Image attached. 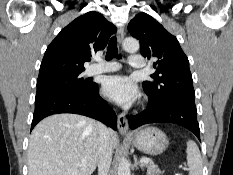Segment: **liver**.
Returning a JSON list of instances; mask_svg holds the SVG:
<instances>
[{
  "instance_id": "1",
  "label": "liver",
  "mask_w": 233,
  "mask_h": 175,
  "mask_svg": "<svg viewBox=\"0 0 233 175\" xmlns=\"http://www.w3.org/2000/svg\"><path fill=\"white\" fill-rule=\"evenodd\" d=\"M111 146L116 133L109 129ZM98 162V123L77 114H55L33 129L28 175H91Z\"/></svg>"
}]
</instances>
